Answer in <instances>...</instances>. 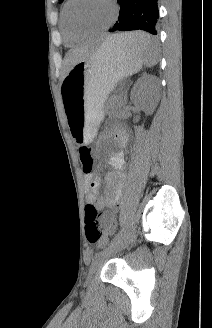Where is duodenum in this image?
<instances>
[{
	"label": "duodenum",
	"mask_w": 212,
	"mask_h": 328,
	"mask_svg": "<svg viewBox=\"0 0 212 328\" xmlns=\"http://www.w3.org/2000/svg\"><path fill=\"white\" fill-rule=\"evenodd\" d=\"M115 137H116L119 141H121V142L124 141V136H123L122 132H120V131H117V132L115 133Z\"/></svg>",
	"instance_id": "410a0bca"
}]
</instances>
